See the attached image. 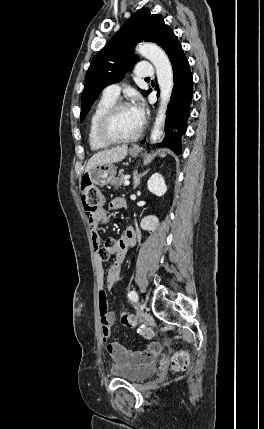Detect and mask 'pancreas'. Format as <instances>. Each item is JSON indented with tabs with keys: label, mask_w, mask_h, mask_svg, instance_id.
I'll use <instances>...</instances> for the list:
<instances>
[{
	"label": "pancreas",
	"mask_w": 264,
	"mask_h": 429,
	"mask_svg": "<svg viewBox=\"0 0 264 429\" xmlns=\"http://www.w3.org/2000/svg\"><path fill=\"white\" fill-rule=\"evenodd\" d=\"M125 181V175L123 174V171H120L117 177H114L111 180V185L115 188H121L122 184Z\"/></svg>",
	"instance_id": "1"
}]
</instances>
